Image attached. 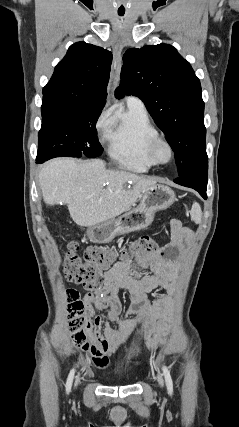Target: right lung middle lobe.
I'll return each instance as SVG.
<instances>
[{
    "label": "right lung middle lobe",
    "instance_id": "1",
    "mask_svg": "<svg viewBox=\"0 0 239 427\" xmlns=\"http://www.w3.org/2000/svg\"><path fill=\"white\" fill-rule=\"evenodd\" d=\"M102 109L67 102H42L36 161L42 163L59 156H100L103 148L95 126Z\"/></svg>",
    "mask_w": 239,
    "mask_h": 427
}]
</instances>
